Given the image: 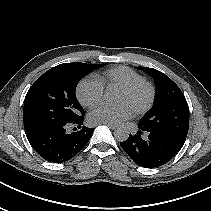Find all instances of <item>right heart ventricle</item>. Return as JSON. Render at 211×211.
<instances>
[{"label": "right heart ventricle", "instance_id": "obj_1", "mask_svg": "<svg viewBox=\"0 0 211 211\" xmlns=\"http://www.w3.org/2000/svg\"><path fill=\"white\" fill-rule=\"evenodd\" d=\"M95 77L101 81L103 86L107 87H122L132 82L144 79L141 74L126 66H118L107 69Z\"/></svg>", "mask_w": 211, "mask_h": 211}]
</instances>
